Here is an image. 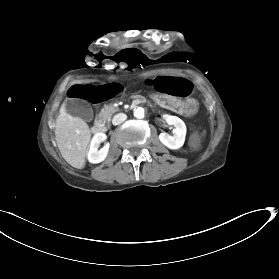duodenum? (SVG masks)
Listing matches in <instances>:
<instances>
[{"label":"duodenum","instance_id":"410a0bca","mask_svg":"<svg viewBox=\"0 0 279 279\" xmlns=\"http://www.w3.org/2000/svg\"><path fill=\"white\" fill-rule=\"evenodd\" d=\"M92 130H93V132L97 131V133L107 132V128L102 127L101 123H96V125H92Z\"/></svg>","mask_w":279,"mask_h":279}]
</instances>
